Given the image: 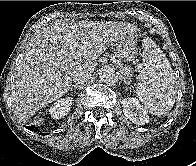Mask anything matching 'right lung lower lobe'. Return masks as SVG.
Instances as JSON below:
<instances>
[{
  "instance_id": "98d812e1",
  "label": "right lung lower lobe",
  "mask_w": 196,
  "mask_h": 166,
  "mask_svg": "<svg viewBox=\"0 0 196 166\" xmlns=\"http://www.w3.org/2000/svg\"><path fill=\"white\" fill-rule=\"evenodd\" d=\"M27 129L31 130V131H35L38 132L40 135H47L48 133H42L39 131V129L35 126H26Z\"/></svg>"
}]
</instances>
